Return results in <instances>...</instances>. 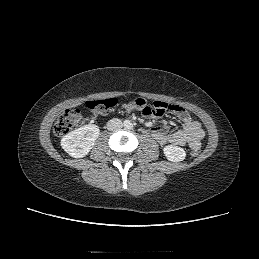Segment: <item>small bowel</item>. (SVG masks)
Instances as JSON below:
<instances>
[{
  "label": "small bowel",
  "instance_id": "1",
  "mask_svg": "<svg viewBox=\"0 0 259 259\" xmlns=\"http://www.w3.org/2000/svg\"><path fill=\"white\" fill-rule=\"evenodd\" d=\"M171 110L182 122V128L169 133L165 126L152 124L151 133L154 139L161 145L173 144L183 146L187 144L192 149L199 148L204 137V130L201 124L193 120L189 113L179 105H173Z\"/></svg>",
  "mask_w": 259,
  "mask_h": 259
}]
</instances>
